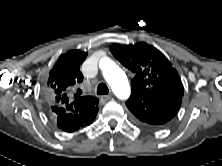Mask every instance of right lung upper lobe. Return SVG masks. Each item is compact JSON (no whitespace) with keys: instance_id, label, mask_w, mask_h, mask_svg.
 Instances as JSON below:
<instances>
[{"instance_id":"right-lung-upper-lobe-1","label":"right lung upper lobe","mask_w":222,"mask_h":166,"mask_svg":"<svg viewBox=\"0 0 222 166\" xmlns=\"http://www.w3.org/2000/svg\"><path fill=\"white\" fill-rule=\"evenodd\" d=\"M86 57L87 53L80 50L62 54L51 69L44 88V95L51 111L55 110L53 107H62L64 112L84 124H87L98 110L96 97L72 94L83 80L80 65Z\"/></svg>"}]
</instances>
